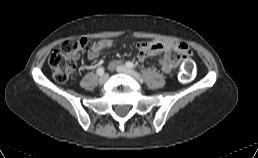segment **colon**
Masks as SVG:
<instances>
[{
	"mask_svg": "<svg viewBox=\"0 0 258 158\" xmlns=\"http://www.w3.org/2000/svg\"><path fill=\"white\" fill-rule=\"evenodd\" d=\"M89 42L85 38L70 39L64 41L57 49L53 51L49 58V65L52 69L54 79L60 83L66 82L75 71L76 61L81 52L87 48ZM194 77L193 62L188 57L183 63L179 73V79L184 82H190Z\"/></svg>",
	"mask_w": 258,
	"mask_h": 158,
	"instance_id": "1",
	"label": "colon"
}]
</instances>
